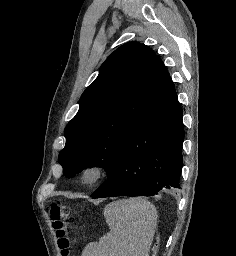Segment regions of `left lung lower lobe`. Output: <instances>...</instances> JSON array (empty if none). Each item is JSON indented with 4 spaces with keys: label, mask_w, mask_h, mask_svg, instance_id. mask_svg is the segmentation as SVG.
Listing matches in <instances>:
<instances>
[{
    "label": "left lung lower lobe",
    "mask_w": 236,
    "mask_h": 256,
    "mask_svg": "<svg viewBox=\"0 0 236 256\" xmlns=\"http://www.w3.org/2000/svg\"><path fill=\"white\" fill-rule=\"evenodd\" d=\"M176 93L134 129L109 178L91 195L150 196L180 188L184 129Z\"/></svg>",
    "instance_id": "obj_1"
}]
</instances>
